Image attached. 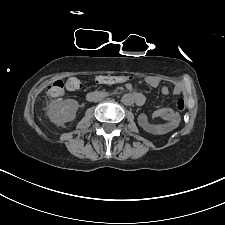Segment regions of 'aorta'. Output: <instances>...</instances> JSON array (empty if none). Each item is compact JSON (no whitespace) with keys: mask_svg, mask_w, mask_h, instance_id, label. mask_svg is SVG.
Returning a JSON list of instances; mask_svg holds the SVG:
<instances>
[{"mask_svg":"<svg viewBox=\"0 0 225 225\" xmlns=\"http://www.w3.org/2000/svg\"><path fill=\"white\" fill-rule=\"evenodd\" d=\"M121 102L124 104V105H132L133 102H134V98L131 94H124L122 96V99H121Z\"/></svg>","mask_w":225,"mask_h":225,"instance_id":"1","label":"aorta"}]
</instances>
